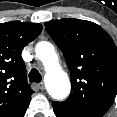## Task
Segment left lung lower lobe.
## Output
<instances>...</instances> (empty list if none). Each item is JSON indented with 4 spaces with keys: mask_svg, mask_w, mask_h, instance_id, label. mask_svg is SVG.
I'll list each match as a JSON object with an SVG mask.
<instances>
[{
    "mask_svg": "<svg viewBox=\"0 0 117 117\" xmlns=\"http://www.w3.org/2000/svg\"><path fill=\"white\" fill-rule=\"evenodd\" d=\"M52 106L54 108V113L57 117H85L83 115L76 114L70 110H66L54 103H52Z\"/></svg>",
    "mask_w": 117,
    "mask_h": 117,
    "instance_id": "left-lung-lower-lobe-1",
    "label": "left lung lower lobe"
}]
</instances>
